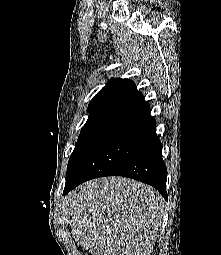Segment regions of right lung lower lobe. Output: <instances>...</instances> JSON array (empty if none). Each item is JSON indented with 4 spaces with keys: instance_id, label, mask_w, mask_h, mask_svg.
<instances>
[{
    "instance_id": "right-lung-lower-lobe-1",
    "label": "right lung lower lobe",
    "mask_w": 221,
    "mask_h": 255,
    "mask_svg": "<svg viewBox=\"0 0 221 255\" xmlns=\"http://www.w3.org/2000/svg\"><path fill=\"white\" fill-rule=\"evenodd\" d=\"M155 129L143 95L116 109L67 175L63 194L93 178L125 176L153 186L167 200V168Z\"/></svg>"
}]
</instances>
